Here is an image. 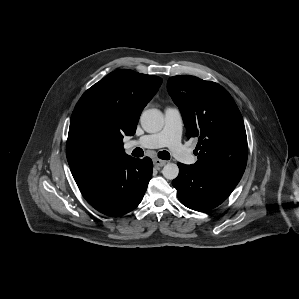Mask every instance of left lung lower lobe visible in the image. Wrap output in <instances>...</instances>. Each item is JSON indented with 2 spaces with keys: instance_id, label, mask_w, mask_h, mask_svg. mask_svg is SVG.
Listing matches in <instances>:
<instances>
[{
  "instance_id": "0a47b994",
  "label": "left lung lower lobe",
  "mask_w": 299,
  "mask_h": 299,
  "mask_svg": "<svg viewBox=\"0 0 299 299\" xmlns=\"http://www.w3.org/2000/svg\"><path fill=\"white\" fill-rule=\"evenodd\" d=\"M179 175L172 181L182 204L196 211L220 205L234 190L235 184L208 175L192 165L178 163Z\"/></svg>"
}]
</instances>
